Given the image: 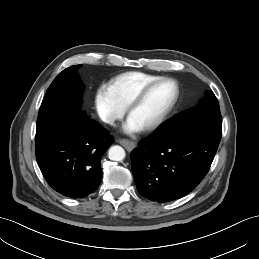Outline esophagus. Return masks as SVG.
Segmentation results:
<instances>
[{"label": "esophagus", "instance_id": "esophagus-1", "mask_svg": "<svg viewBox=\"0 0 259 259\" xmlns=\"http://www.w3.org/2000/svg\"><path fill=\"white\" fill-rule=\"evenodd\" d=\"M117 142L124 146L128 151H132L135 148V143L128 139H118Z\"/></svg>", "mask_w": 259, "mask_h": 259}]
</instances>
